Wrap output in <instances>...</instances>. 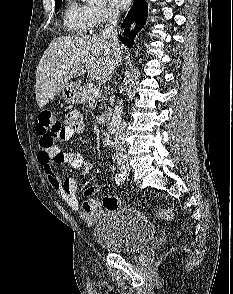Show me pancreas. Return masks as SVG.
I'll use <instances>...</instances> for the list:
<instances>
[{
  "label": "pancreas",
  "instance_id": "1",
  "mask_svg": "<svg viewBox=\"0 0 233 294\" xmlns=\"http://www.w3.org/2000/svg\"><path fill=\"white\" fill-rule=\"evenodd\" d=\"M92 89H93V87L91 86L90 83H87L83 86V88L81 89L82 102H84V103L90 102V100L93 98L92 94H91Z\"/></svg>",
  "mask_w": 233,
  "mask_h": 294
}]
</instances>
